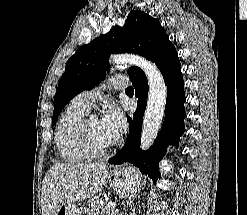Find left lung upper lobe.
Listing matches in <instances>:
<instances>
[{"label":"left lung upper lobe","mask_w":247,"mask_h":215,"mask_svg":"<svg viewBox=\"0 0 247 215\" xmlns=\"http://www.w3.org/2000/svg\"><path fill=\"white\" fill-rule=\"evenodd\" d=\"M168 35L159 21L142 11H131L123 27L115 26L107 34L79 48L69 58L54 97L52 125L66 104L80 92L98 85L109 70L111 53L130 52L153 60ZM142 71L128 70L129 78Z\"/></svg>","instance_id":"obj_1"}]
</instances>
